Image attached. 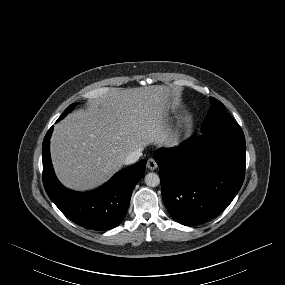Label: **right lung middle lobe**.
Returning a JSON list of instances; mask_svg holds the SVG:
<instances>
[{
	"instance_id": "dd1d6c3e",
	"label": "right lung middle lobe",
	"mask_w": 285,
	"mask_h": 285,
	"mask_svg": "<svg viewBox=\"0 0 285 285\" xmlns=\"http://www.w3.org/2000/svg\"><path fill=\"white\" fill-rule=\"evenodd\" d=\"M74 107H75V104L70 105V106L63 112V114L60 116V118H59L58 120H61L62 118H64Z\"/></svg>"
}]
</instances>
